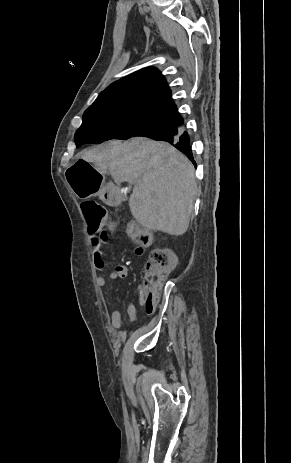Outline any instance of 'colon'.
<instances>
[{
	"label": "colon",
	"mask_w": 291,
	"mask_h": 463,
	"mask_svg": "<svg viewBox=\"0 0 291 463\" xmlns=\"http://www.w3.org/2000/svg\"><path fill=\"white\" fill-rule=\"evenodd\" d=\"M82 212L91 232L96 233L111 229L108 211L94 200H86L81 205ZM127 235L137 244L149 247L152 244L150 234L134 223L126 227ZM176 265L175 254L166 248L154 247L148 257L142 292L145 297L147 313H152L160 287Z\"/></svg>",
	"instance_id": "5ec220e1"
}]
</instances>
